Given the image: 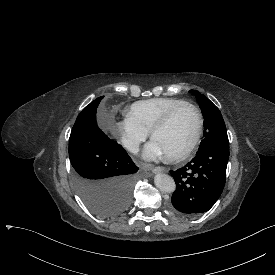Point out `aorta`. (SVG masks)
Masks as SVG:
<instances>
[{"mask_svg":"<svg viewBox=\"0 0 275 275\" xmlns=\"http://www.w3.org/2000/svg\"><path fill=\"white\" fill-rule=\"evenodd\" d=\"M156 187L163 193H172L175 191L176 185L174 179L163 173H158L154 177Z\"/></svg>","mask_w":275,"mask_h":275,"instance_id":"aorta-1","label":"aorta"}]
</instances>
